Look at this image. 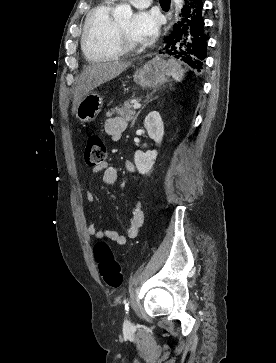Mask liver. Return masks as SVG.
Segmentation results:
<instances>
[{"label":"liver","mask_w":276,"mask_h":363,"mask_svg":"<svg viewBox=\"0 0 276 363\" xmlns=\"http://www.w3.org/2000/svg\"><path fill=\"white\" fill-rule=\"evenodd\" d=\"M130 65L131 62L114 61L93 63L86 66L83 69L75 88L72 112L75 113L79 102L84 96L98 86L119 76Z\"/></svg>","instance_id":"1"}]
</instances>
